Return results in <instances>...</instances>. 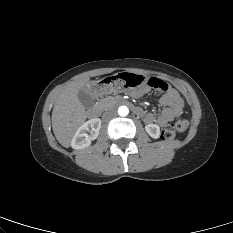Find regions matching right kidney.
<instances>
[{"label":"right kidney","mask_w":233,"mask_h":233,"mask_svg":"<svg viewBox=\"0 0 233 233\" xmlns=\"http://www.w3.org/2000/svg\"><path fill=\"white\" fill-rule=\"evenodd\" d=\"M100 128L101 120L99 118L85 122L76 131L71 141V147L73 149H83L90 146L91 142L98 137Z\"/></svg>","instance_id":"1"}]
</instances>
